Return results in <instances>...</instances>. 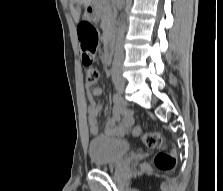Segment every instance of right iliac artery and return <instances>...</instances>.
I'll return each mask as SVG.
<instances>
[{
    "label": "right iliac artery",
    "instance_id": "1",
    "mask_svg": "<svg viewBox=\"0 0 223 191\" xmlns=\"http://www.w3.org/2000/svg\"><path fill=\"white\" fill-rule=\"evenodd\" d=\"M113 99H114L115 101H117V102H121V96H120V94L115 93V94L113 95Z\"/></svg>",
    "mask_w": 223,
    "mask_h": 191
}]
</instances>
